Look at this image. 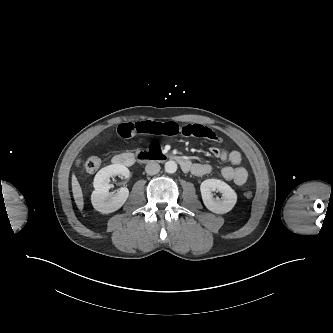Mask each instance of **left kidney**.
<instances>
[{"instance_id":"1","label":"left kidney","mask_w":333,"mask_h":333,"mask_svg":"<svg viewBox=\"0 0 333 333\" xmlns=\"http://www.w3.org/2000/svg\"><path fill=\"white\" fill-rule=\"evenodd\" d=\"M200 191L204 205L208 210L216 214H225L232 210L237 201V194L225 182L218 179H207L200 185ZM218 191L221 198H214L212 192Z\"/></svg>"}]
</instances>
